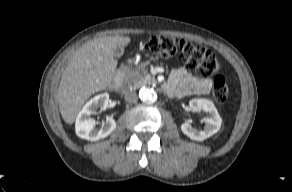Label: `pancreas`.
I'll list each match as a JSON object with an SVG mask.
<instances>
[{
	"label": "pancreas",
	"mask_w": 292,
	"mask_h": 192,
	"mask_svg": "<svg viewBox=\"0 0 292 192\" xmlns=\"http://www.w3.org/2000/svg\"><path fill=\"white\" fill-rule=\"evenodd\" d=\"M146 64L142 63L137 68L129 70L126 79L134 87L154 83V77L147 71Z\"/></svg>",
	"instance_id": "1"
}]
</instances>
